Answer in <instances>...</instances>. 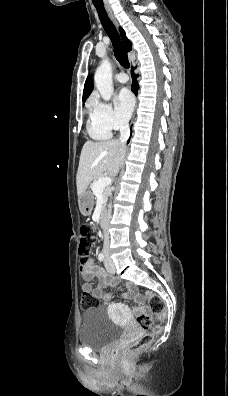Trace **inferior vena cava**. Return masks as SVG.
<instances>
[{
    "instance_id": "obj_1",
    "label": "inferior vena cava",
    "mask_w": 228,
    "mask_h": 396,
    "mask_svg": "<svg viewBox=\"0 0 228 396\" xmlns=\"http://www.w3.org/2000/svg\"><path fill=\"white\" fill-rule=\"evenodd\" d=\"M129 136H130L129 123H128V121H123L120 124V138H119L120 142L125 144L129 138ZM111 209H112V205L109 204V210H108V214L106 217V226L104 228V253L106 255L109 254L110 237H109V231H108V222L111 218Z\"/></svg>"
}]
</instances>
